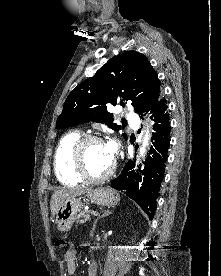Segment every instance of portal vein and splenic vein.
Here are the masks:
<instances>
[{
    "mask_svg": "<svg viewBox=\"0 0 221 276\" xmlns=\"http://www.w3.org/2000/svg\"><path fill=\"white\" fill-rule=\"evenodd\" d=\"M91 214H92L93 216H97L99 213H98L97 211H92Z\"/></svg>",
    "mask_w": 221,
    "mask_h": 276,
    "instance_id": "obj_1",
    "label": "portal vein and splenic vein"
}]
</instances>
